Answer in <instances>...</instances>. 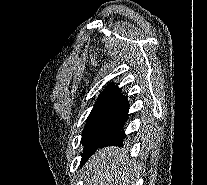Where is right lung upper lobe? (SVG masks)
I'll return each instance as SVG.
<instances>
[{"mask_svg": "<svg viewBox=\"0 0 207 185\" xmlns=\"http://www.w3.org/2000/svg\"><path fill=\"white\" fill-rule=\"evenodd\" d=\"M129 106L125 96L122 95L120 88L110 84L98 97L93 110L121 111L128 112Z\"/></svg>", "mask_w": 207, "mask_h": 185, "instance_id": "1", "label": "right lung upper lobe"}]
</instances>
